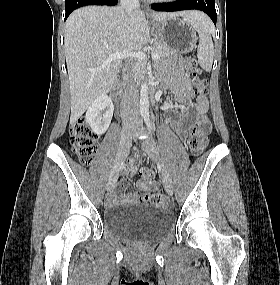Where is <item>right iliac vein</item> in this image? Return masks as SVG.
<instances>
[{
	"mask_svg": "<svg viewBox=\"0 0 280 285\" xmlns=\"http://www.w3.org/2000/svg\"><path fill=\"white\" fill-rule=\"evenodd\" d=\"M130 137H131V134L129 132L123 134L121 137L118 152H117V157H116L114 166L112 168V171L110 173V177H109V181H108V185H107V191L108 192L113 190V188L115 187L121 165L124 162V160L128 154L129 148H130Z\"/></svg>",
	"mask_w": 280,
	"mask_h": 285,
	"instance_id": "right-iliac-vein-1",
	"label": "right iliac vein"
}]
</instances>
